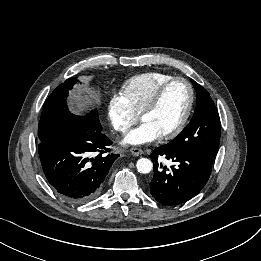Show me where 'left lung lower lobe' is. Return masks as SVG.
<instances>
[{
    "label": "left lung lower lobe",
    "mask_w": 261,
    "mask_h": 261,
    "mask_svg": "<svg viewBox=\"0 0 261 261\" xmlns=\"http://www.w3.org/2000/svg\"><path fill=\"white\" fill-rule=\"evenodd\" d=\"M154 176L150 193L165 206L180 205L196 196L207 183L213 162L180 146L163 145L151 155ZM159 156L176 162L167 169L158 162Z\"/></svg>",
    "instance_id": "1"
}]
</instances>
